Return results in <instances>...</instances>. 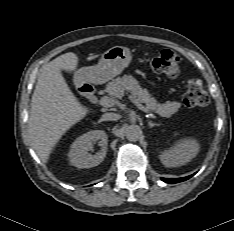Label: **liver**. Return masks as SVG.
Segmentation results:
<instances>
[{"label": "liver", "mask_w": 234, "mask_h": 231, "mask_svg": "<svg viewBox=\"0 0 234 231\" xmlns=\"http://www.w3.org/2000/svg\"><path fill=\"white\" fill-rule=\"evenodd\" d=\"M97 55L89 56L88 61ZM78 56L65 53L43 66L31 99L29 135L32 146L43 162L62 136L84 119L90 109L84 106L69 88L62 70L73 72Z\"/></svg>", "instance_id": "obj_1"}]
</instances>
